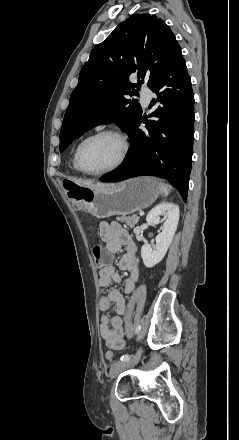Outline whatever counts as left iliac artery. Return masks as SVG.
<instances>
[{"label":"left iliac artery","mask_w":239,"mask_h":440,"mask_svg":"<svg viewBox=\"0 0 239 440\" xmlns=\"http://www.w3.org/2000/svg\"><path fill=\"white\" fill-rule=\"evenodd\" d=\"M139 331H140V325H138L137 327H136V330H135V333L137 334V333H139ZM130 355L129 354H124L122 357H121V361H127V360H129L130 359Z\"/></svg>","instance_id":"1"}]
</instances>
